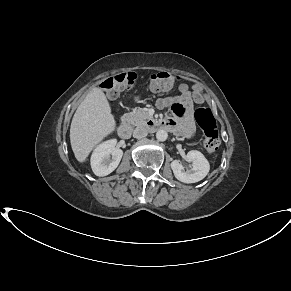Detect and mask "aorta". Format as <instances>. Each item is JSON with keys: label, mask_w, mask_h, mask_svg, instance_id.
<instances>
[{"label": "aorta", "mask_w": 291, "mask_h": 291, "mask_svg": "<svg viewBox=\"0 0 291 291\" xmlns=\"http://www.w3.org/2000/svg\"><path fill=\"white\" fill-rule=\"evenodd\" d=\"M156 138L158 141H165L168 138V133L165 130H158L156 133Z\"/></svg>", "instance_id": "1"}]
</instances>
